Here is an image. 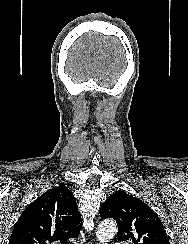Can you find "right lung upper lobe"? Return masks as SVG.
<instances>
[{"mask_svg": "<svg viewBox=\"0 0 188 244\" xmlns=\"http://www.w3.org/2000/svg\"><path fill=\"white\" fill-rule=\"evenodd\" d=\"M82 227L72 192L64 185L53 187L21 214L9 244H67Z\"/></svg>", "mask_w": 188, "mask_h": 244, "instance_id": "obj_1", "label": "right lung upper lobe"}]
</instances>
